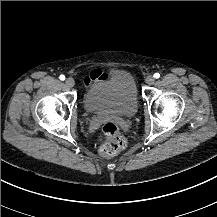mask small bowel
<instances>
[{
	"label": "small bowel",
	"mask_w": 217,
	"mask_h": 217,
	"mask_svg": "<svg viewBox=\"0 0 217 217\" xmlns=\"http://www.w3.org/2000/svg\"><path fill=\"white\" fill-rule=\"evenodd\" d=\"M97 127H98L97 122H93V123H92V128H93V129H97Z\"/></svg>",
	"instance_id": "c3829d8e"
}]
</instances>
